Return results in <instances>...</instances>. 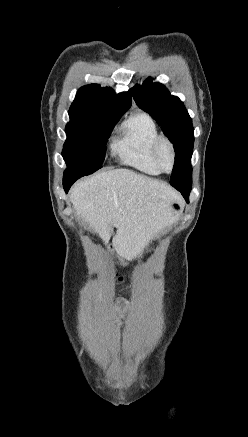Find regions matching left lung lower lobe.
I'll list each match as a JSON object with an SVG mask.
<instances>
[{
    "label": "left lung lower lobe",
    "instance_id": "0a47b994",
    "mask_svg": "<svg viewBox=\"0 0 248 437\" xmlns=\"http://www.w3.org/2000/svg\"><path fill=\"white\" fill-rule=\"evenodd\" d=\"M181 194L183 195V197L185 198V200H186L187 202H189V194H190V191H189V192H181Z\"/></svg>",
    "mask_w": 248,
    "mask_h": 437
}]
</instances>
